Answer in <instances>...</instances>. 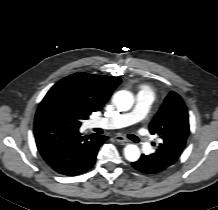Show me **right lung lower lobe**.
Wrapping results in <instances>:
<instances>
[{"instance_id":"obj_1","label":"right lung lower lobe","mask_w":218,"mask_h":210,"mask_svg":"<svg viewBox=\"0 0 218 210\" xmlns=\"http://www.w3.org/2000/svg\"><path fill=\"white\" fill-rule=\"evenodd\" d=\"M38 151L57 173L75 176L89 170L95 163L99 147L106 140L97 134L82 136L79 130L54 122L34 123Z\"/></svg>"}]
</instances>
